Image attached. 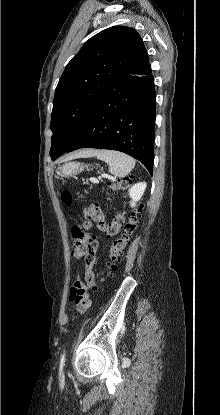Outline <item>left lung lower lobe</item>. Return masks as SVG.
<instances>
[{
	"mask_svg": "<svg viewBox=\"0 0 220 415\" xmlns=\"http://www.w3.org/2000/svg\"><path fill=\"white\" fill-rule=\"evenodd\" d=\"M155 99L150 63L135 74L117 78L67 152L87 147L121 151L142 162L152 175Z\"/></svg>",
	"mask_w": 220,
	"mask_h": 415,
	"instance_id": "1",
	"label": "left lung lower lobe"
}]
</instances>
